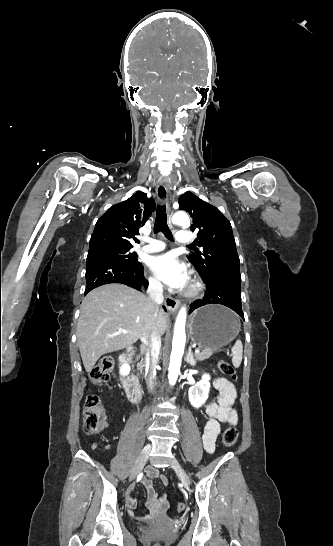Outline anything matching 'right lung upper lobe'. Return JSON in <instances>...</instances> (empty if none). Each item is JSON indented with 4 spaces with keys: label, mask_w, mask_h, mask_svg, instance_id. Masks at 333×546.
<instances>
[{
    "label": "right lung upper lobe",
    "mask_w": 333,
    "mask_h": 546,
    "mask_svg": "<svg viewBox=\"0 0 333 546\" xmlns=\"http://www.w3.org/2000/svg\"><path fill=\"white\" fill-rule=\"evenodd\" d=\"M155 210V201L137 192L110 207L97 221L90 239L89 252L104 247H133L134 237Z\"/></svg>",
    "instance_id": "right-lung-upper-lobe-1"
}]
</instances>
